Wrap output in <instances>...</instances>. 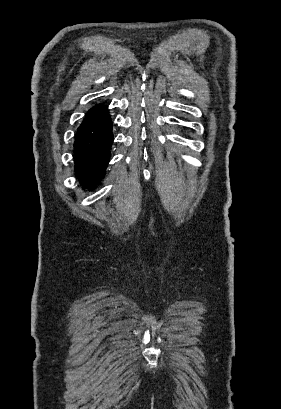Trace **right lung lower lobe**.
Listing matches in <instances>:
<instances>
[{"label":"right lung lower lobe","instance_id":"1","mask_svg":"<svg viewBox=\"0 0 281 409\" xmlns=\"http://www.w3.org/2000/svg\"><path fill=\"white\" fill-rule=\"evenodd\" d=\"M113 142L112 120L104 104L93 106L77 129L75 172L83 186H94L104 175Z\"/></svg>","mask_w":281,"mask_h":409}]
</instances>
